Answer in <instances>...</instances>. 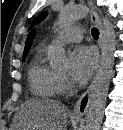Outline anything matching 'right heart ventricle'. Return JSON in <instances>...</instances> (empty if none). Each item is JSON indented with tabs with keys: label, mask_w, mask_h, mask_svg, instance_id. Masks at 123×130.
<instances>
[{
	"label": "right heart ventricle",
	"mask_w": 123,
	"mask_h": 130,
	"mask_svg": "<svg viewBox=\"0 0 123 130\" xmlns=\"http://www.w3.org/2000/svg\"><path fill=\"white\" fill-rule=\"evenodd\" d=\"M52 46H41L35 53L29 66V83L31 91L41 98H54L60 90V74L48 62Z\"/></svg>",
	"instance_id": "1"
}]
</instances>
